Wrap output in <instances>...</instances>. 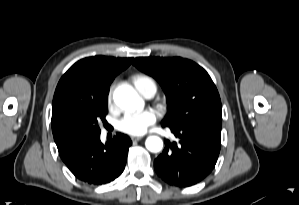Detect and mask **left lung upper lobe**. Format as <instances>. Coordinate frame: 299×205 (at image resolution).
I'll return each instance as SVG.
<instances>
[{
  "label": "left lung upper lobe",
  "mask_w": 299,
  "mask_h": 205,
  "mask_svg": "<svg viewBox=\"0 0 299 205\" xmlns=\"http://www.w3.org/2000/svg\"><path fill=\"white\" fill-rule=\"evenodd\" d=\"M133 64L162 86L169 105L164 126L221 119L222 105L217 88L208 73L195 62L180 57H139Z\"/></svg>",
  "instance_id": "5c2ea615"
}]
</instances>
